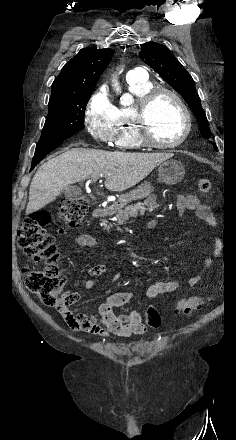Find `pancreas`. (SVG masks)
<instances>
[{
	"instance_id": "cf45deb5",
	"label": "pancreas",
	"mask_w": 236,
	"mask_h": 440,
	"mask_svg": "<svg viewBox=\"0 0 236 440\" xmlns=\"http://www.w3.org/2000/svg\"><path fill=\"white\" fill-rule=\"evenodd\" d=\"M158 207L156 202V196L150 195L143 203H137L135 205L127 206L124 210H119L116 214L117 223L123 224L129 218L136 217L138 213L144 214L145 211L152 212ZM106 229H110V226L105 225Z\"/></svg>"
}]
</instances>
